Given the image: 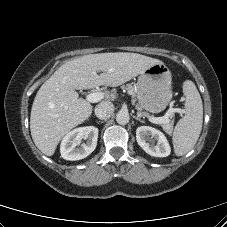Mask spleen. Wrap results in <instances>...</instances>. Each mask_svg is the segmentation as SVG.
<instances>
[{
	"instance_id": "3e777b00",
	"label": "spleen",
	"mask_w": 227,
	"mask_h": 227,
	"mask_svg": "<svg viewBox=\"0 0 227 227\" xmlns=\"http://www.w3.org/2000/svg\"><path fill=\"white\" fill-rule=\"evenodd\" d=\"M185 95V115L175 126L172 142L176 156L189 152L200 136L203 123V104L201 96L191 80L183 83Z\"/></svg>"
}]
</instances>
